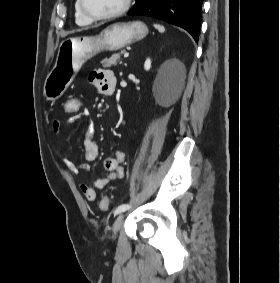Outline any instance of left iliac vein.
<instances>
[{"mask_svg":"<svg viewBox=\"0 0 280 283\" xmlns=\"http://www.w3.org/2000/svg\"><path fill=\"white\" fill-rule=\"evenodd\" d=\"M123 220H124V214L121 213L114 221L113 227H112V233L113 237L117 234V232L120 230V228L123 225Z\"/></svg>","mask_w":280,"mask_h":283,"instance_id":"obj_1","label":"left iliac vein"}]
</instances>
